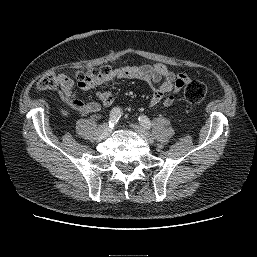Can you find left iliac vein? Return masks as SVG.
Here are the masks:
<instances>
[{
	"instance_id": "left-iliac-vein-1",
	"label": "left iliac vein",
	"mask_w": 257,
	"mask_h": 257,
	"mask_svg": "<svg viewBox=\"0 0 257 257\" xmlns=\"http://www.w3.org/2000/svg\"><path fill=\"white\" fill-rule=\"evenodd\" d=\"M132 127L145 142L149 144H152L154 142V137L152 136V134L148 132L143 126L132 125Z\"/></svg>"
}]
</instances>
